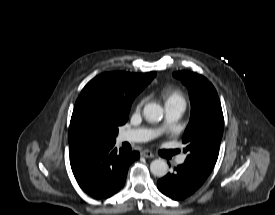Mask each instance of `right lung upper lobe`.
I'll return each instance as SVG.
<instances>
[{
	"label": "right lung upper lobe",
	"mask_w": 275,
	"mask_h": 215,
	"mask_svg": "<svg viewBox=\"0 0 275 215\" xmlns=\"http://www.w3.org/2000/svg\"><path fill=\"white\" fill-rule=\"evenodd\" d=\"M155 75L107 72L92 79L75 103L68 134L70 153L84 147L79 130L88 118H100L118 126L125 124L133 100Z\"/></svg>",
	"instance_id": "cb5924a9"
}]
</instances>
